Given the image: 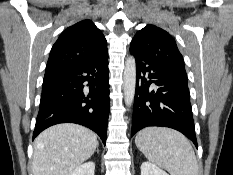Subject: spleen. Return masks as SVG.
<instances>
[{"label": "spleen", "mask_w": 233, "mask_h": 175, "mask_svg": "<svg viewBox=\"0 0 233 175\" xmlns=\"http://www.w3.org/2000/svg\"><path fill=\"white\" fill-rule=\"evenodd\" d=\"M135 144L150 162L171 175H198L194 150L188 139L176 130L144 128L137 133Z\"/></svg>", "instance_id": "obj_1"}]
</instances>
